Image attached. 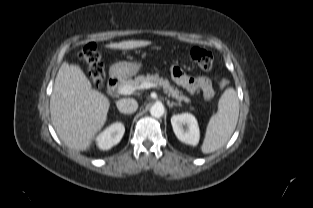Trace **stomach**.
<instances>
[{
    "label": "stomach",
    "mask_w": 313,
    "mask_h": 208,
    "mask_svg": "<svg viewBox=\"0 0 313 208\" xmlns=\"http://www.w3.org/2000/svg\"><path fill=\"white\" fill-rule=\"evenodd\" d=\"M142 64L137 62H120L112 66L111 73L118 77H131L136 75Z\"/></svg>",
    "instance_id": "stomach-1"
}]
</instances>
